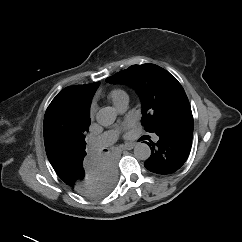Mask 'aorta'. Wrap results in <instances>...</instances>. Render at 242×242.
<instances>
[{
    "label": "aorta",
    "instance_id": "aorta-1",
    "mask_svg": "<svg viewBox=\"0 0 242 242\" xmlns=\"http://www.w3.org/2000/svg\"><path fill=\"white\" fill-rule=\"evenodd\" d=\"M117 112L113 107L101 108L96 114V121L101 126L107 127L116 120ZM151 155L150 147L145 143H137L134 147V156L138 160H147Z\"/></svg>",
    "mask_w": 242,
    "mask_h": 242
}]
</instances>
